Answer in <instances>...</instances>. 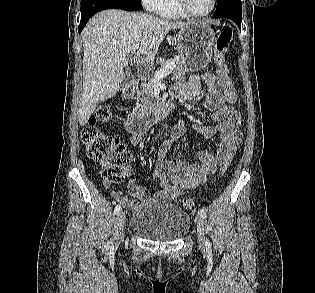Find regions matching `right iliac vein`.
<instances>
[{"label":"right iliac vein","instance_id":"63e3f726","mask_svg":"<svg viewBox=\"0 0 315 293\" xmlns=\"http://www.w3.org/2000/svg\"><path fill=\"white\" fill-rule=\"evenodd\" d=\"M126 223V215L124 212H120L117 215L116 222H115V247L119 245L120 242L123 241L124 233L123 229Z\"/></svg>","mask_w":315,"mask_h":293}]
</instances>
